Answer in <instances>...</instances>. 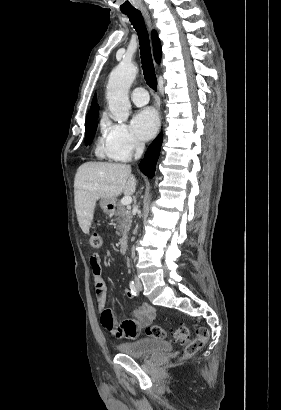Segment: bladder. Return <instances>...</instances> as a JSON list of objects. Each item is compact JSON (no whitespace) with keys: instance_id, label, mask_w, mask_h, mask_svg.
Returning <instances> with one entry per match:
<instances>
[{"instance_id":"31cf9c89","label":"bladder","mask_w":281,"mask_h":410,"mask_svg":"<svg viewBox=\"0 0 281 410\" xmlns=\"http://www.w3.org/2000/svg\"><path fill=\"white\" fill-rule=\"evenodd\" d=\"M120 354L136 358L149 357L156 353L169 352L171 345L161 339L140 338L128 343H120L116 346Z\"/></svg>"}]
</instances>
